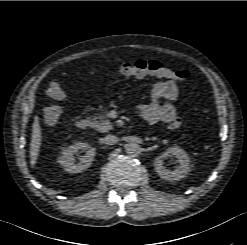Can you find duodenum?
<instances>
[{
	"label": "duodenum",
	"mask_w": 247,
	"mask_h": 245,
	"mask_svg": "<svg viewBox=\"0 0 247 245\" xmlns=\"http://www.w3.org/2000/svg\"><path fill=\"white\" fill-rule=\"evenodd\" d=\"M90 126V120L88 118H80L76 121V127L78 129L84 130Z\"/></svg>",
	"instance_id": "1"
}]
</instances>
